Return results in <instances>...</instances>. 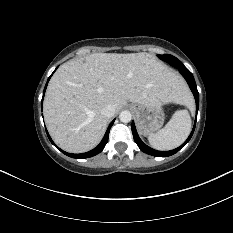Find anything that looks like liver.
Instances as JSON below:
<instances>
[{
  "label": "liver",
  "mask_w": 233,
  "mask_h": 233,
  "mask_svg": "<svg viewBox=\"0 0 233 233\" xmlns=\"http://www.w3.org/2000/svg\"><path fill=\"white\" fill-rule=\"evenodd\" d=\"M127 101L189 104L190 94L184 80L151 54L94 53L55 72L44 100L45 123L61 149L86 152L99 144L107 127L102 108L112 104L118 112Z\"/></svg>",
  "instance_id": "1"
}]
</instances>
